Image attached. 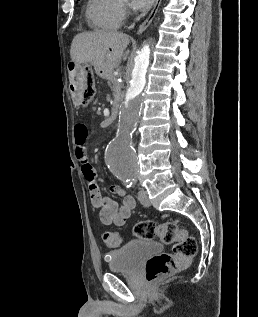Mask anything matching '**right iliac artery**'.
Segmentation results:
<instances>
[{"label": "right iliac artery", "instance_id": "82829eb1", "mask_svg": "<svg viewBox=\"0 0 258 317\" xmlns=\"http://www.w3.org/2000/svg\"><path fill=\"white\" fill-rule=\"evenodd\" d=\"M121 180L124 182V185H125L127 188L131 187V184L129 183L128 179H126V178H121Z\"/></svg>", "mask_w": 258, "mask_h": 317}]
</instances>
